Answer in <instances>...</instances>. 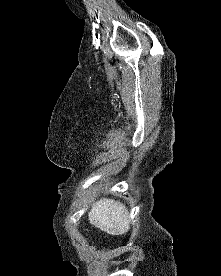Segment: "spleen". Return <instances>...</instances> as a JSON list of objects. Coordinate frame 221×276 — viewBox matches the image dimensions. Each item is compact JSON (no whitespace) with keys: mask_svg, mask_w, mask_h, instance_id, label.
Here are the masks:
<instances>
[{"mask_svg":"<svg viewBox=\"0 0 221 276\" xmlns=\"http://www.w3.org/2000/svg\"><path fill=\"white\" fill-rule=\"evenodd\" d=\"M88 217L92 225L110 235H122L130 229L128 210L113 199H101L93 204Z\"/></svg>","mask_w":221,"mask_h":276,"instance_id":"spleen-1","label":"spleen"}]
</instances>
